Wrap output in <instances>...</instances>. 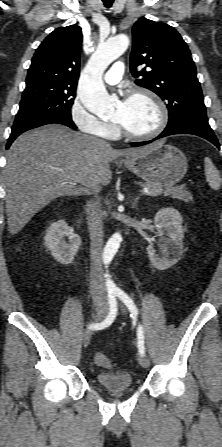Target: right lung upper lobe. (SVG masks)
<instances>
[{
  "instance_id": "1",
  "label": "right lung upper lobe",
  "mask_w": 222,
  "mask_h": 447,
  "mask_svg": "<svg viewBox=\"0 0 222 447\" xmlns=\"http://www.w3.org/2000/svg\"><path fill=\"white\" fill-rule=\"evenodd\" d=\"M82 31L77 25L57 28L37 48L26 88L52 85L76 87L79 78Z\"/></svg>"
}]
</instances>
